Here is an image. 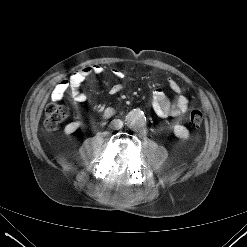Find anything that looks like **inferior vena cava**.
<instances>
[{
	"label": "inferior vena cava",
	"instance_id": "1",
	"mask_svg": "<svg viewBox=\"0 0 247 247\" xmlns=\"http://www.w3.org/2000/svg\"><path fill=\"white\" fill-rule=\"evenodd\" d=\"M110 125H111V128L118 130V129L122 128L123 122L120 119H114L111 121Z\"/></svg>",
	"mask_w": 247,
	"mask_h": 247
}]
</instances>
